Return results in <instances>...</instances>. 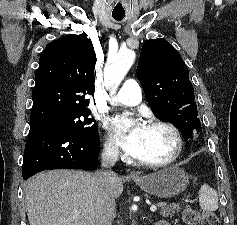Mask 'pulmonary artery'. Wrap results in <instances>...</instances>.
<instances>
[{
  "label": "pulmonary artery",
  "mask_w": 237,
  "mask_h": 225,
  "mask_svg": "<svg viewBox=\"0 0 237 225\" xmlns=\"http://www.w3.org/2000/svg\"><path fill=\"white\" fill-rule=\"evenodd\" d=\"M142 92L140 85L133 79L124 82L123 87L114 98L113 104L134 106L140 103Z\"/></svg>",
  "instance_id": "pulmonary-artery-1"
}]
</instances>
